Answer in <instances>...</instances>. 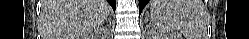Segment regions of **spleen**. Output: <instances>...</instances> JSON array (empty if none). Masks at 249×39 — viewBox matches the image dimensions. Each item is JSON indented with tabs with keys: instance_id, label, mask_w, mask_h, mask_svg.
Returning <instances> with one entry per match:
<instances>
[{
	"instance_id": "obj_1",
	"label": "spleen",
	"mask_w": 249,
	"mask_h": 39,
	"mask_svg": "<svg viewBox=\"0 0 249 39\" xmlns=\"http://www.w3.org/2000/svg\"><path fill=\"white\" fill-rule=\"evenodd\" d=\"M150 5L151 20L172 39L178 32L186 39H205L209 14L201 0H151Z\"/></svg>"
}]
</instances>
